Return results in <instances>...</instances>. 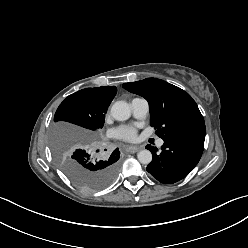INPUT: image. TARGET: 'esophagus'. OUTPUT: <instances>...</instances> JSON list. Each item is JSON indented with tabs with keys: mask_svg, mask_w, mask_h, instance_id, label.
I'll list each match as a JSON object with an SVG mask.
<instances>
[{
	"mask_svg": "<svg viewBox=\"0 0 248 248\" xmlns=\"http://www.w3.org/2000/svg\"><path fill=\"white\" fill-rule=\"evenodd\" d=\"M141 148L138 146H128L127 151L130 153H136L140 150Z\"/></svg>",
	"mask_w": 248,
	"mask_h": 248,
	"instance_id": "1",
	"label": "esophagus"
}]
</instances>
